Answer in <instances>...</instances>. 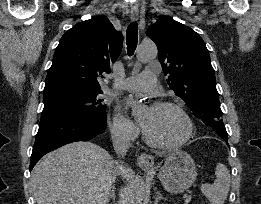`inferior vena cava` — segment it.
Segmentation results:
<instances>
[{
    "instance_id": "inferior-vena-cava-1",
    "label": "inferior vena cava",
    "mask_w": 261,
    "mask_h": 204,
    "mask_svg": "<svg viewBox=\"0 0 261 204\" xmlns=\"http://www.w3.org/2000/svg\"><path fill=\"white\" fill-rule=\"evenodd\" d=\"M112 142L115 152L119 157H123L130 147V134L126 128H114L111 131ZM113 169V180H115L116 173L121 166V162L115 161Z\"/></svg>"
}]
</instances>
